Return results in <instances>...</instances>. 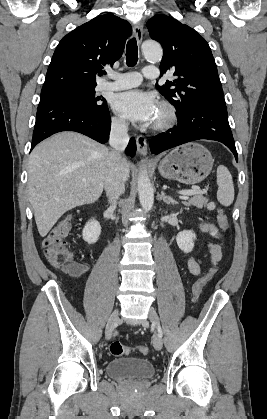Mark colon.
<instances>
[{
  "label": "colon",
  "instance_id": "1",
  "mask_svg": "<svg viewBox=\"0 0 267 419\" xmlns=\"http://www.w3.org/2000/svg\"><path fill=\"white\" fill-rule=\"evenodd\" d=\"M217 222L222 230L228 228V218L226 214L219 210L217 213ZM72 226V217L66 216L59 220L57 224L50 230L43 241V251L48 261L57 269L72 275L79 274L82 270L81 265L75 260L74 254L68 249L65 238L69 234ZM215 273V269L211 268L204 276L200 277L193 284V298L197 300L205 284ZM136 350L146 355L149 349L145 345L138 346ZM111 355L119 357L131 352L130 348L125 347L119 340H114L109 346Z\"/></svg>",
  "mask_w": 267,
  "mask_h": 419
}]
</instances>
